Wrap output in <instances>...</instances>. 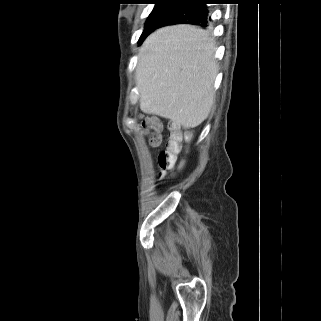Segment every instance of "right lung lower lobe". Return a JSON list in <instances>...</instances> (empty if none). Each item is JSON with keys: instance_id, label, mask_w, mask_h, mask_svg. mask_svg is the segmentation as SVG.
<instances>
[{"instance_id": "right-lung-lower-lobe-1", "label": "right lung lower lobe", "mask_w": 321, "mask_h": 321, "mask_svg": "<svg viewBox=\"0 0 321 321\" xmlns=\"http://www.w3.org/2000/svg\"><path fill=\"white\" fill-rule=\"evenodd\" d=\"M208 9L204 1H192L187 4L177 5L168 11L157 23L154 30L167 25L194 24L207 26Z\"/></svg>"}]
</instances>
